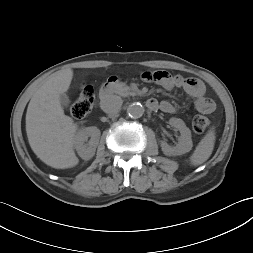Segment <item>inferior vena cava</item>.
<instances>
[{
    "label": "inferior vena cava",
    "mask_w": 253,
    "mask_h": 253,
    "mask_svg": "<svg viewBox=\"0 0 253 253\" xmlns=\"http://www.w3.org/2000/svg\"><path fill=\"white\" fill-rule=\"evenodd\" d=\"M122 106V100L119 97L112 96L100 103L101 109L110 115L117 114Z\"/></svg>",
    "instance_id": "1"
}]
</instances>
